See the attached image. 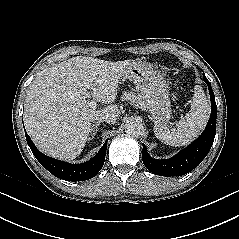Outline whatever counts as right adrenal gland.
I'll return each mask as SVG.
<instances>
[{"instance_id": "1", "label": "right adrenal gland", "mask_w": 239, "mask_h": 239, "mask_svg": "<svg viewBox=\"0 0 239 239\" xmlns=\"http://www.w3.org/2000/svg\"><path fill=\"white\" fill-rule=\"evenodd\" d=\"M100 121L97 122H93L91 129H90V137L88 138V140H92L93 137L96 135L97 131H98V126L100 125Z\"/></svg>"}]
</instances>
